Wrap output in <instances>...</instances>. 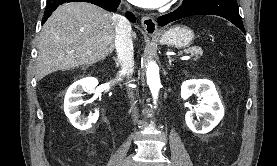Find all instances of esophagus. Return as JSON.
<instances>
[{
	"mask_svg": "<svg viewBox=\"0 0 277 166\" xmlns=\"http://www.w3.org/2000/svg\"><path fill=\"white\" fill-rule=\"evenodd\" d=\"M142 26L149 35H157L161 33L156 21L150 16H143L141 20Z\"/></svg>",
	"mask_w": 277,
	"mask_h": 166,
	"instance_id": "34e87169",
	"label": "esophagus"
}]
</instances>
